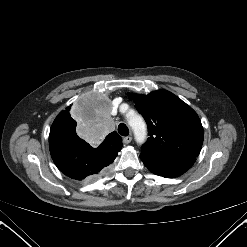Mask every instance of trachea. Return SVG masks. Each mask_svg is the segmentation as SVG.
<instances>
[{
    "instance_id": "1",
    "label": "trachea",
    "mask_w": 247,
    "mask_h": 247,
    "mask_svg": "<svg viewBox=\"0 0 247 247\" xmlns=\"http://www.w3.org/2000/svg\"><path fill=\"white\" fill-rule=\"evenodd\" d=\"M118 133L122 136H128L129 134V129L124 123H120L118 126Z\"/></svg>"
}]
</instances>
